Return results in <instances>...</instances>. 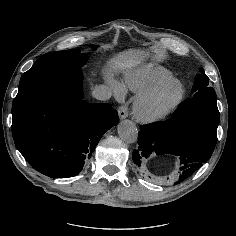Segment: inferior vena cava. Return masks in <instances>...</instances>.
<instances>
[{"label":"inferior vena cava","mask_w":236,"mask_h":236,"mask_svg":"<svg viewBox=\"0 0 236 236\" xmlns=\"http://www.w3.org/2000/svg\"><path fill=\"white\" fill-rule=\"evenodd\" d=\"M112 91L107 85L96 86L92 92V96L100 101H106L111 98Z\"/></svg>","instance_id":"1"}]
</instances>
